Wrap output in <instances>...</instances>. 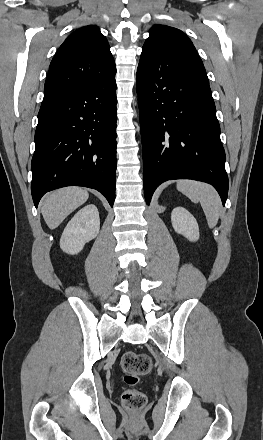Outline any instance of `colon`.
<instances>
[{"label":"colon","instance_id":"5ec220e1","mask_svg":"<svg viewBox=\"0 0 263 440\" xmlns=\"http://www.w3.org/2000/svg\"><path fill=\"white\" fill-rule=\"evenodd\" d=\"M124 372V383L127 388L122 392L121 402L123 407L131 412L143 410L147 404L146 395L136 389L140 378L147 375L152 368L151 357L142 352L128 351L121 358Z\"/></svg>","mask_w":263,"mask_h":440}]
</instances>
